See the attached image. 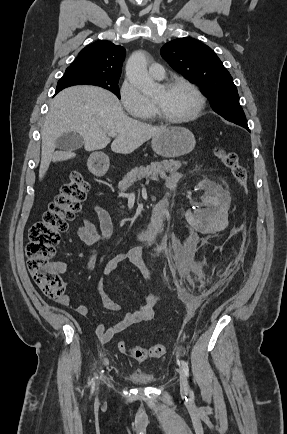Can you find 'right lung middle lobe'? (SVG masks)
Wrapping results in <instances>:
<instances>
[{"label": "right lung middle lobe", "instance_id": "right-lung-middle-lobe-1", "mask_svg": "<svg viewBox=\"0 0 287 434\" xmlns=\"http://www.w3.org/2000/svg\"><path fill=\"white\" fill-rule=\"evenodd\" d=\"M118 82L119 78L95 77L77 71L66 70L63 77L58 81L57 88L64 89L77 84L96 85L113 92L120 98Z\"/></svg>", "mask_w": 287, "mask_h": 434}]
</instances>
